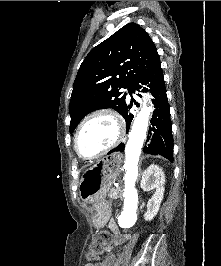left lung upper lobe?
<instances>
[{
  "label": "left lung upper lobe",
  "instance_id": "left-lung-upper-lobe-1",
  "mask_svg": "<svg viewBox=\"0 0 221 266\" xmlns=\"http://www.w3.org/2000/svg\"><path fill=\"white\" fill-rule=\"evenodd\" d=\"M160 63L157 49L148 33L129 23L94 47L82 62L73 84L69 112L72 133L88 113L112 108L123 114L130 88Z\"/></svg>",
  "mask_w": 221,
  "mask_h": 266
}]
</instances>
